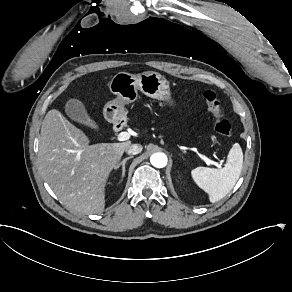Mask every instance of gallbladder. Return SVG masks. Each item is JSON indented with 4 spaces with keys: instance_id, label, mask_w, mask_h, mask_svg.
I'll return each instance as SVG.
<instances>
[{
    "instance_id": "1",
    "label": "gallbladder",
    "mask_w": 292,
    "mask_h": 292,
    "mask_svg": "<svg viewBox=\"0 0 292 292\" xmlns=\"http://www.w3.org/2000/svg\"><path fill=\"white\" fill-rule=\"evenodd\" d=\"M64 110L66 116L78 124L89 127L95 122L93 117L88 113L84 103L77 98H71L67 100L64 106Z\"/></svg>"
}]
</instances>
